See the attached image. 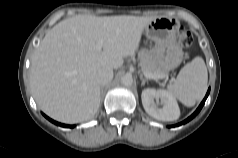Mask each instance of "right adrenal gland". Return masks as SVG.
Instances as JSON below:
<instances>
[{"label": "right adrenal gland", "instance_id": "1", "mask_svg": "<svg viewBox=\"0 0 238 158\" xmlns=\"http://www.w3.org/2000/svg\"><path fill=\"white\" fill-rule=\"evenodd\" d=\"M103 88H104V87H103V86H101V95L103 94Z\"/></svg>", "mask_w": 238, "mask_h": 158}]
</instances>
